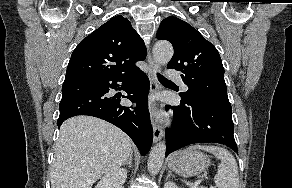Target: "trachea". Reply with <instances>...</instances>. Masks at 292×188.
<instances>
[{
	"label": "trachea",
	"instance_id": "trachea-1",
	"mask_svg": "<svg viewBox=\"0 0 292 188\" xmlns=\"http://www.w3.org/2000/svg\"><path fill=\"white\" fill-rule=\"evenodd\" d=\"M157 76L160 82L172 83V81L168 80L167 78H165L164 76L160 74H157Z\"/></svg>",
	"mask_w": 292,
	"mask_h": 188
}]
</instances>
